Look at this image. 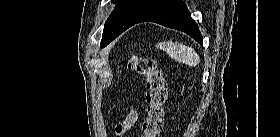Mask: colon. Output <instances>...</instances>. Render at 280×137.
I'll list each match as a JSON object with an SVG mask.
<instances>
[{
  "instance_id": "5ec220e1",
  "label": "colon",
  "mask_w": 280,
  "mask_h": 137,
  "mask_svg": "<svg viewBox=\"0 0 280 137\" xmlns=\"http://www.w3.org/2000/svg\"><path fill=\"white\" fill-rule=\"evenodd\" d=\"M128 68L146 79L147 116L143 123V136L158 137L162 130L163 107L167 95L164 74L156 61L150 57L131 56ZM129 128L127 124L120 122L115 127L116 136H124Z\"/></svg>"
}]
</instances>
